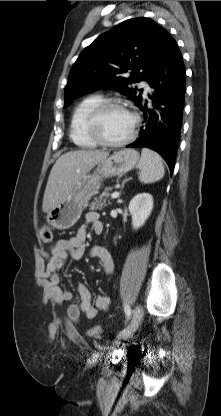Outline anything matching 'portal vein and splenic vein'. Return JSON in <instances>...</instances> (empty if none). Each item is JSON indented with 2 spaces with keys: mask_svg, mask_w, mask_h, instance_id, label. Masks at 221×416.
<instances>
[{
  "mask_svg": "<svg viewBox=\"0 0 221 416\" xmlns=\"http://www.w3.org/2000/svg\"><path fill=\"white\" fill-rule=\"evenodd\" d=\"M111 197H112L113 199L118 198V197H119V193L115 191V192H113V193L111 194Z\"/></svg>",
  "mask_w": 221,
  "mask_h": 416,
  "instance_id": "obj_1",
  "label": "portal vein and splenic vein"
}]
</instances>
